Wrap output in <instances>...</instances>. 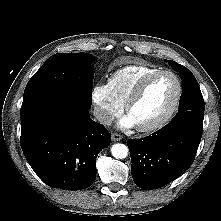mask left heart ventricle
<instances>
[{"label": "left heart ventricle", "mask_w": 221, "mask_h": 221, "mask_svg": "<svg viewBox=\"0 0 221 221\" xmlns=\"http://www.w3.org/2000/svg\"><path fill=\"white\" fill-rule=\"evenodd\" d=\"M176 94V82L170 75L151 80L128 115L136 126L150 124L159 119L170 107Z\"/></svg>", "instance_id": "1"}]
</instances>
